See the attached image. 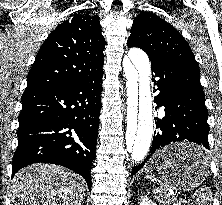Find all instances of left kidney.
<instances>
[{
  "instance_id": "left-kidney-1",
  "label": "left kidney",
  "mask_w": 222,
  "mask_h": 205,
  "mask_svg": "<svg viewBox=\"0 0 222 205\" xmlns=\"http://www.w3.org/2000/svg\"><path fill=\"white\" fill-rule=\"evenodd\" d=\"M140 205H157L156 203L152 202L151 199L145 197H142Z\"/></svg>"
}]
</instances>
